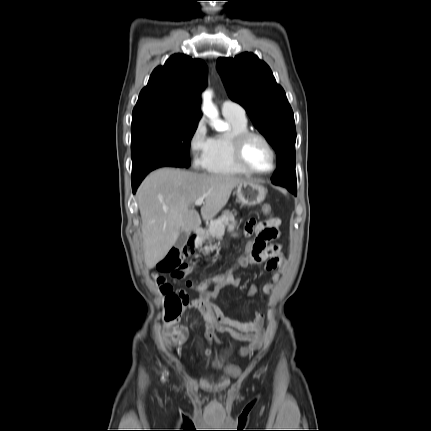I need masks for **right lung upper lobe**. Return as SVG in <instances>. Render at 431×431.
Instances as JSON below:
<instances>
[{"mask_svg":"<svg viewBox=\"0 0 431 431\" xmlns=\"http://www.w3.org/2000/svg\"><path fill=\"white\" fill-rule=\"evenodd\" d=\"M206 73V64L200 59L184 54L171 56L151 74L132 117L168 116L199 121L200 94L206 87Z\"/></svg>","mask_w":431,"mask_h":431,"instance_id":"cb5924a9","label":"right lung upper lobe"}]
</instances>
